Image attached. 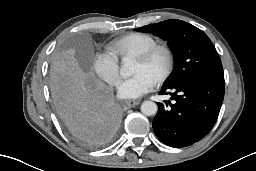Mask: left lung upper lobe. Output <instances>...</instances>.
Returning a JSON list of instances; mask_svg holds the SVG:
<instances>
[{
	"mask_svg": "<svg viewBox=\"0 0 256 171\" xmlns=\"http://www.w3.org/2000/svg\"><path fill=\"white\" fill-rule=\"evenodd\" d=\"M151 32L168 42L174 53L175 67L164 86L175 85L192 76H219L221 60L208 36L197 27L176 19L135 29Z\"/></svg>",
	"mask_w": 256,
	"mask_h": 171,
	"instance_id": "5c2ea615",
	"label": "left lung upper lobe"
}]
</instances>
